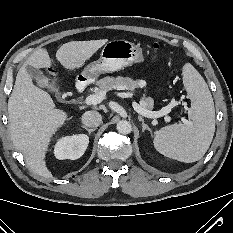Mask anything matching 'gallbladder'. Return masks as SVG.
Segmentation results:
<instances>
[{
  "label": "gallbladder",
  "instance_id": "bac80fb5",
  "mask_svg": "<svg viewBox=\"0 0 233 233\" xmlns=\"http://www.w3.org/2000/svg\"><path fill=\"white\" fill-rule=\"evenodd\" d=\"M26 71L33 79L36 80L37 84L40 87L48 88L51 91H58L57 86H55L54 84H51L49 79L45 77L39 69H36L32 66H27ZM58 95H60V93Z\"/></svg>",
  "mask_w": 233,
  "mask_h": 233
}]
</instances>
